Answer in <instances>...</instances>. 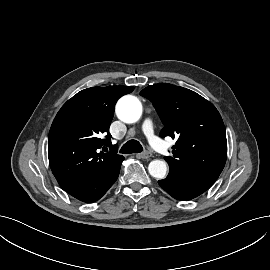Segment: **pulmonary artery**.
<instances>
[{
  "instance_id": "1",
  "label": "pulmonary artery",
  "mask_w": 270,
  "mask_h": 270,
  "mask_svg": "<svg viewBox=\"0 0 270 270\" xmlns=\"http://www.w3.org/2000/svg\"><path fill=\"white\" fill-rule=\"evenodd\" d=\"M142 131L154 149H156L161 154H166L168 152L167 146L156 135L154 130V123L151 118L147 117L144 119L142 124Z\"/></svg>"
}]
</instances>
